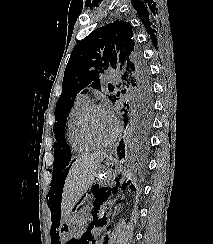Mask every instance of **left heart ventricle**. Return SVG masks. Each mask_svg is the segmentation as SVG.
Listing matches in <instances>:
<instances>
[{
  "instance_id": "left-heart-ventricle-1",
  "label": "left heart ventricle",
  "mask_w": 213,
  "mask_h": 244,
  "mask_svg": "<svg viewBox=\"0 0 213 244\" xmlns=\"http://www.w3.org/2000/svg\"><path fill=\"white\" fill-rule=\"evenodd\" d=\"M91 135L99 140H109L115 131V122L111 121L106 111L95 110L91 113L88 121Z\"/></svg>"
}]
</instances>
